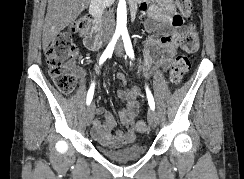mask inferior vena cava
<instances>
[{"instance_id":"602c4592","label":"inferior vena cava","mask_w":244,"mask_h":179,"mask_svg":"<svg viewBox=\"0 0 244 179\" xmlns=\"http://www.w3.org/2000/svg\"><path fill=\"white\" fill-rule=\"evenodd\" d=\"M114 26L115 22L113 20L112 14H109L107 22H105L103 28H104V34H109V32H114Z\"/></svg>"}]
</instances>
